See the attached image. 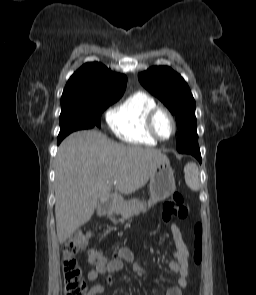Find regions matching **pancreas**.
<instances>
[{"mask_svg":"<svg viewBox=\"0 0 256 295\" xmlns=\"http://www.w3.org/2000/svg\"><path fill=\"white\" fill-rule=\"evenodd\" d=\"M139 211H141V209L139 208V207H130V208H127V210H126V214H125V217H129V216H131L133 213H137V212H139Z\"/></svg>","mask_w":256,"mask_h":295,"instance_id":"obj_1","label":"pancreas"}]
</instances>
